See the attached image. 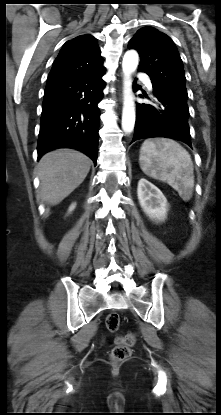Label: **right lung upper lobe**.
<instances>
[{
	"label": "right lung upper lobe",
	"instance_id": "obj_1",
	"mask_svg": "<svg viewBox=\"0 0 221 415\" xmlns=\"http://www.w3.org/2000/svg\"><path fill=\"white\" fill-rule=\"evenodd\" d=\"M102 63L103 58L96 39L91 35H80L63 45L47 82L101 72L104 70Z\"/></svg>",
	"mask_w": 221,
	"mask_h": 415
}]
</instances>
